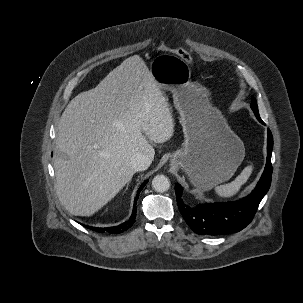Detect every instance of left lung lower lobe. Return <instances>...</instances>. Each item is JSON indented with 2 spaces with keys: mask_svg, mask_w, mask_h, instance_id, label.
I'll use <instances>...</instances> for the list:
<instances>
[{
  "mask_svg": "<svg viewBox=\"0 0 303 303\" xmlns=\"http://www.w3.org/2000/svg\"><path fill=\"white\" fill-rule=\"evenodd\" d=\"M256 118L264 124L259 115ZM267 161L256 188L245 198L228 203L201 204L196 207L185 205L181 199L182 188L175 186L177 205L189 227L199 235H224L245 228L253 219L259 203L269 190L272 176L271 153L273 137L268 129Z\"/></svg>",
  "mask_w": 303,
  "mask_h": 303,
  "instance_id": "obj_1",
  "label": "left lung lower lobe"
}]
</instances>
